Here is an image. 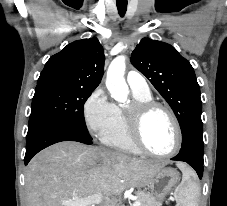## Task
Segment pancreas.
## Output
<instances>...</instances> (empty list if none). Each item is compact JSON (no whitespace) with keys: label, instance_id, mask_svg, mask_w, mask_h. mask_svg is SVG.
Returning a JSON list of instances; mask_svg holds the SVG:
<instances>
[{"label":"pancreas","instance_id":"pancreas-1","mask_svg":"<svg viewBox=\"0 0 227 206\" xmlns=\"http://www.w3.org/2000/svg\"><path fill=\"white\" fill-rule=\"evenodd\" d=\"M138 202H140L141 206H161L160 202L156 200V198L145 191H138Z\"/></svg>","mask_w":227,"mask_h":206}]
</instances>
